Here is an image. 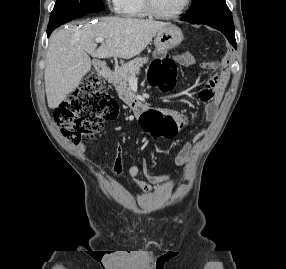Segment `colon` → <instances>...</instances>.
Returning a JSON list of instances; mask_svg holds the SVG:
<instances>
[{"label": "colon", "mask_w": 286, "mask_h": 269, "mask_svg": "<svg viewBox=\"0 0 286 269\" xmlns=\"http://www.w3.org/2000/svg\"><path fill=\"white\" fill-rule=\"evenodd\" d=\"M152 57L161 59L155 61L149 71L148 80L163 91L172 90L175 86L177 68L167 49H153ZM211 72L206 85L212 82L216 68ZM118 106L116 100L108 94L101 79L88 75L79 89L64 100L54 112L55 121L64 137L76 144L83 138L93 137L103 124L116 117ZM147 116H141V125L146 126L145 134L153 137V142L159 138H173L178 133L175 121L162 113L158 106L146 109Z\"/></svg>", "instance_id": "1"}]
</instances>
